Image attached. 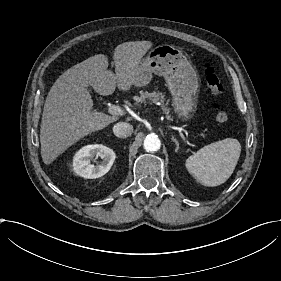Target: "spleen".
I'll use <instances>...</instances> for the list:
<instances>
[{
    "label": "spleen",
    "mask_w": 281,
    "mask_h": 281,
    "mask_svg": "<svg viewBox=\"0 0 281 281\" xmlns=\"http://www.w3.org/2000/svg\"><path fill=\"white\" fill-rule=\"evenodd\" d=\"M241 153L237 139L226 138L204 146L186 160L197 181L209 187L221 185L232 175Z\"/></svg>",
    "instance_id": "obj_1"
}]
</instances>
